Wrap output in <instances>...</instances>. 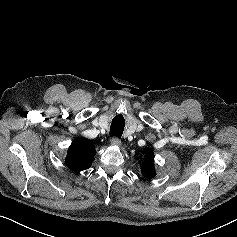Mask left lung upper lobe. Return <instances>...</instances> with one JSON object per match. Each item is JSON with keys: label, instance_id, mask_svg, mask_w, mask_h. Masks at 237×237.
<instances>
[{"label": "left lung upper lobe", "instance_id": "1", "mask_svg": "<svg viewBox=\"0 0 237 237\" xmlns=\"http://www.w3.org/2000/svg\"><path fill=\"white\" fill-rule=\"evenodd\" d=\"M144 159H145V161L141 165V173L143 175H145V177H147V178L155 177L156 171L154 168L153 152L149 149H146Z\"/></svg>", "mask_w": 237, "mask_h": 237}]
</instances>
